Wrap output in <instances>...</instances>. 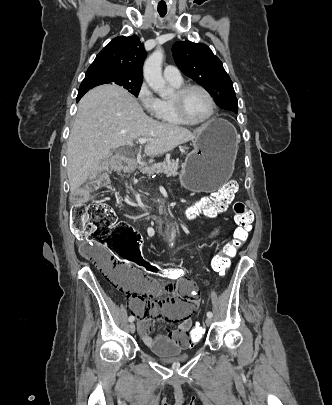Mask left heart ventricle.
<instances>
[{"mask_svg": "<svg viewBox=\"0 0 332 405\" xmlns=\"http://www.w3.org/2000/svg\"><path fill=\"white\" fill-rule=\"evenodd\" d=\"M183 103L186 116L194 121L205 118L211 111L208 97L199 90H190Z\"/></svg>", "mask_w": 332, "mask_h": 405, "instance_id": "1", "label": "left heart ventricle"}]
</instances>
